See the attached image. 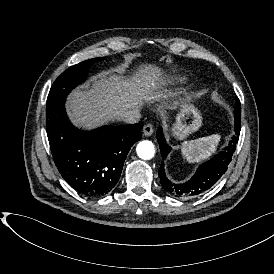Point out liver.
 Wrapping results in <instances>:
<instances>
[{
  "label": "liver",
  "instance_id": "liver-1",
  "mask_svg": "<svg viewBox=\"0 0 274 274\" xmlns=\"http://www.w3.org/2000/svg\"><path fill=\"white\" fill-rule=\"evenodd\" d=\"M122 72L103 71L70 93L66 108L76 127L91 130L119 120L122 112L140 110L144 103L157 101L166 105L165 101L174 95L164 88L170 82L156 65H140L131 78H125Z\"/></svg>",
  "mask_w": 274,
  "mask_h": 274
}]
</instances>
